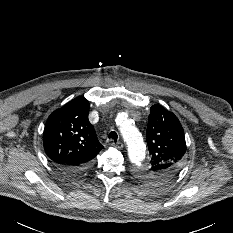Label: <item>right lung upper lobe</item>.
I'll use <instances>...</instances> for the list:
<instances>
[{
    "label": "right lung upper lobe",
    "mask_w": 233,
    "mask_h": 233,
    "mask_svg": "<svg viewBox=\"0 0 233 233\" xmlns=\"http://www.w3.org/2000/svg\"><path fill=\"white\" fill-rule=\"evenodd\" d=\"M89 101L77 97L47 119L43 144L47 156L66 171L88 166L103 146L88 120Z\"/></svg>",
    "instance_id": "1"
}]
</instances>
